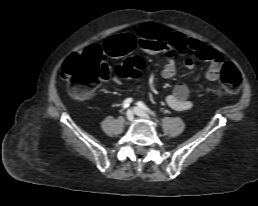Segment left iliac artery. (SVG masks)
<instances>
[{
	"mask_svg": "<svg viewBox=\"0 0 258 206\" xmlns=\"http://www.w3.org/2000/svg\"><path fill=\"white\" fill-rule=\"evenodd\" d=\"M138 107L141 108L142 110L148 112L152 116H156L154 112H152L143 102L139 101L137 103Z\"/></svg>",
	"mask_w": 258,
	"mask_h": 206,
	"instance_id": "obj_1",
	"label": "left iliac artery"
}]
</instances>
